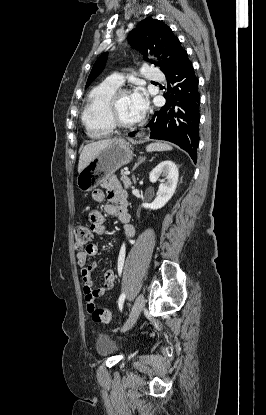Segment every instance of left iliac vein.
Returning a JSON list of instances; mask_svg holds the SVG:
<instances>
[{"instance_id": "left-iliac-vein-1", "label": "left iliac vein", "mask_w": 266, "mask_h": 415, "mask_svg": "<svg viewBox=\"0 0 266 415\" xmlns=\"http://www.w3.org/2000/svg\"><path fill=\"white\" fill-rule=\"evenodd\" d=\"M144 306H145V298H144L143 294H140L137 297V299H136V301L133 305V308H132V310L129 314V317H128L126 323L124 324V326L122 328L123 332L127 331L128 329H130L134 325V323L137 321L141 311L143 310Z\"/></svg>"}]
</instances>
